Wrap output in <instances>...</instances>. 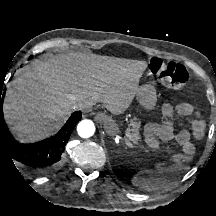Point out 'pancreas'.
I'll return each mask as SVG.
<instances>
[{"instance_id":"1","label":"pancreas","mask_w":216,"mask_h":216,"mask_svg":"<svg viewBox=\"0 0 216 216\" xmlns=\"http://www.w3.org/2000/svg\"><path fill=\"white\" fill-rule=\"evenodd\" d=\"M127 137V145L131 148L136 147L131 142H134L135 144H138L141 137L139 135V129L137 126H134L132 129H129L126 133Z\"/></svg>"}]
</instances>
